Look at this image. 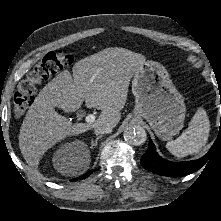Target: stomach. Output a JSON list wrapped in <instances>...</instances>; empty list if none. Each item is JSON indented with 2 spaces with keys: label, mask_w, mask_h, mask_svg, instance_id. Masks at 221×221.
<instances>
[{
  "label": "stomach",
  "mask_w": 221,
  "mask_h": 221,
  "mask_svg": "<svg viewBox=\"0 0 221 221\" xmlns=\"http://www.w3.org/2000/svg\"><path fill=\"white\" fill-rule=\"evenodd\" d=\"M135 114L146 119L161 140H170L183 128L186 106L166 68L145 61L133 76Z\"/></svg>",
  "instance_id": "1"
}]
</instances>
